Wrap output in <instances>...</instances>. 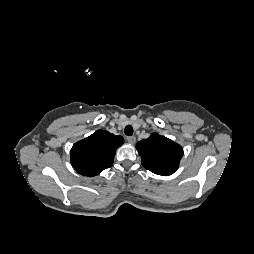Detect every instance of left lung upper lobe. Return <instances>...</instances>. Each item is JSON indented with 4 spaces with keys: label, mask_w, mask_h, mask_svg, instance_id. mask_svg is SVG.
Masks as SVG:
<instances>
[{
    "label": "left lung upper lobe",
    "mask_w": 254,
    "mask_h": 254,
    "mask_svg": "<svg viewBox=\"0 0 254 254\" xmlns=\"http://www.w3.org/2000/svg\"><path fill=\"white\" fill-rule=\"evenodd\" d=\"M142 165L158 175H171L178 166L183 155L182 147L172 140L157 133L136 144Z\"/></svg>",
    "instance_id": "obj_1"
}]
</instances>
